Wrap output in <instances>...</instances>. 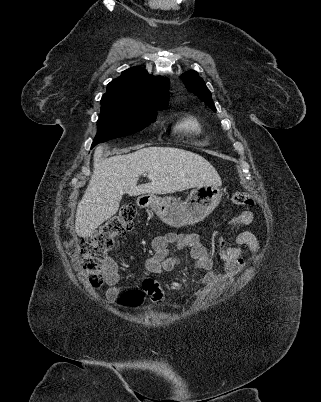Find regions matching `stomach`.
<instances>
[{
	"label": "stomach",
	"instance_id": "0dacf381",
	"mask_svg": "<svg viewBox=\"0 0 321 402\" xmlns=\"http://www.w3.org/2000/svg\"><path fill=\"white\" fill-rule=\"evenodd\" d=\"M220 185L208 184L192 190L182 202L173 196L147 197V206L158 218L172 227L194 225L206 218L219 204L222 198Z\"/></svg>",
	"mask_w": 321,
	"mask_h": 402
}]
</instances>
